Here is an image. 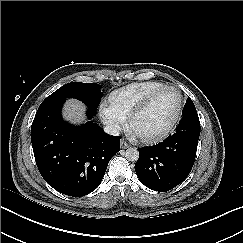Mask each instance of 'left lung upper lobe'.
Instances as JSON below:
<instances>
[{"label":"left lung upper lobe","instance_id":"5c2ea615","mask_svg":"<svg viewBox=\"0 0 243 243\" xmlns=\"http://www.w3.org/2000/svg\"><path fill=\"white\" fill-rule=\"evenodd\" d=\"M197 115L198 114L192 100L188 98L185 108L183 110V118Z\"/></svg>","mask_w":243,"mask_h":243}]
</instances>
